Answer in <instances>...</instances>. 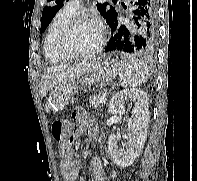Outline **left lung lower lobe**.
Masks as SVG:
<instances>
[{
  "label": "left lung lower lobe",
  "instance_id": "1",
  "mask_svg": "<svg viewBox=\"0 0 197 181\" xmlns=\"http://www.w3.org/2000/svg\"><path fill=\"white\" fill-rule=\"evenodd\" d=\"M131 3L134 6L131 24H118L117 19L108 23L112 36L105 52L120 51L151 57L158 38L157 0H132Z\"/></svg>",
  "mask_w": 197,
  "mask_h": 181
}]
</instances>
